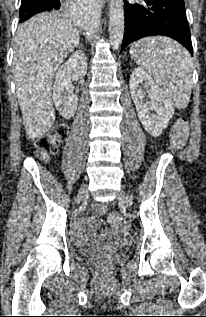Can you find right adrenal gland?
Instances as JSON below:
<instances>
[{
    "label": "right adrenal gland",
    "mask_w": 206,
    "mask_h": 317,
    "mask_svg": "<svg viewBox=\"0 0 206 317\" xmlns=\"http://www.w3.org/2000/svg\"><path fill=\"white\" fill-rule=\"evenodd\" d=\"M78 48H82V45L81 44H78V46H77Z\"/></svg>",
    "instance_id": "1"
}]
</instances>
